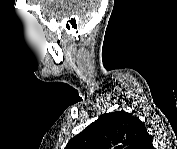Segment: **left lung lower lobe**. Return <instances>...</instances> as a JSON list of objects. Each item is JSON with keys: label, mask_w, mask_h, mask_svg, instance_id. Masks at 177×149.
Masks as SVG:
<instances>
[{"label": "left lung lower lobe", "mask_w": 177, "mask_h": 149, "mask_svg": "<svg viewBox=\"0 0 177 149\" xmlns=\"http://www.w3.org/2000/svg\"><path fill=\"white\" fill-rule=\"evenodd\" d=\"M144 146H146V149L153 148L152 139H151L150 135H148V134H146V136L144 138Z\"/></svg>", "instance_id": "obj_1"}]
</instances>
